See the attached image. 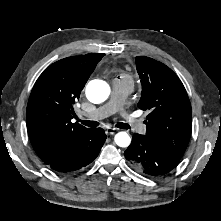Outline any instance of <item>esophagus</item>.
Wrapping results in <instances>:
<instances>
[{"label": "esophagus", "instance_id": "obj_1", "mask_svg": "<svg viewBox=\"0 0 221 221\" xmlns=\"http://www.w3.org/2000/svg\"><path fill=\"white\" fill-rule=\"evenodd\" d=\"M116 132V129L115 128H112V127H109L105 130V133L107 135H113L114 133Z\"/></svg>", "mask_w": 221, "mask_h": 221}]
</instances>
